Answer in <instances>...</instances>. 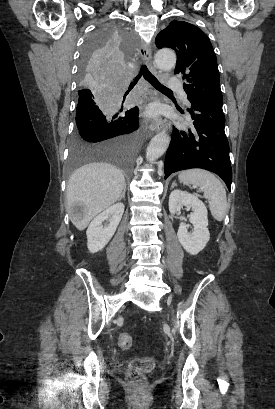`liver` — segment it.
<instances>
[{"label":"liver","instance_id":"6515ba94","mask_svg":"<svg viewBox=\"0 0 275 409\" xmlns=\"http://www.w3.org/2000/svg\"><path fill=\"white\" fill-rule=\"evenodd\" d=\"M125 186V176L117 166L109 162H89L72 172L67 184V205L82 202L86 215L82 221H72L78 231H84L90 221L108 209L121 196Z\"/></svg>","mask_w":275,"mask_h":409}]
</instances>
